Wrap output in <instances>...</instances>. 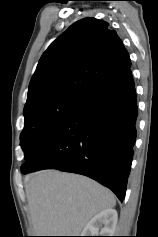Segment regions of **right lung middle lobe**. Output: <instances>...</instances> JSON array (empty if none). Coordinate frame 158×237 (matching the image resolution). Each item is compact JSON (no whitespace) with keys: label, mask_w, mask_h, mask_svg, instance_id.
Returning <instances> with one entry per match:
<instances>
[{"label":"right lung middle lobe","mask_w":158,"mask_h":237,"mask_svg":"<svg viewBox=\"0 0 158 237\" xmlns=\"http://www.w3.org/2000/svg\"><path fill=\"white\" fill-rule=\"evenodd\" d=\"M84 101L68 97L47 99L24 110L25 125L21 133V147L25 153L24 170L41 144L53 133Z\"/></svg>","instance_id":"obj_1"}]
</instances>
